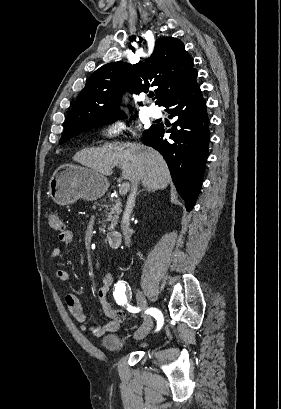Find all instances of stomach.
<instances>
[{
    "instance_id": "obj_1",
    "label": "stomach",
    "mask_w": 281,
    "mask_h": 409,
    "mask_svg": "<svg viewBox=\"0 0 281 409\" xmlns=\"http://www.w3.org/2000/svg\"><path fill=\"white\" fill-rule=\"evenodd\" d=\"M109 182L106 176L87 166L61 164L49 180V194L56 205H72L78 198L97 200Z\"/></svg>"
}]
</instances>
